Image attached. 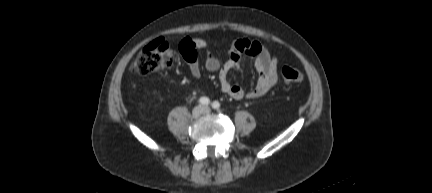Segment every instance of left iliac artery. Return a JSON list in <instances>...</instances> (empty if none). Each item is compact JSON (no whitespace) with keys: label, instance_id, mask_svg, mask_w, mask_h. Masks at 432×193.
Wrapping results in <instances>:
<instances>
[{"label":"left iliac artery","instance_id":"obj_1","mask_svg":"<svg viewBox=\"0 0 432 193\" xmlns=\"http://www.w3.org/2000/svg\"><path fill=\"white\" fill-rule=\"evenodd\" d=\"M212 107H213L214 109H219V108H220V103H219L218 101H214V102L212 103Z\"/></svg>","mask_w":432,"mask_h":193}]
</instances>
